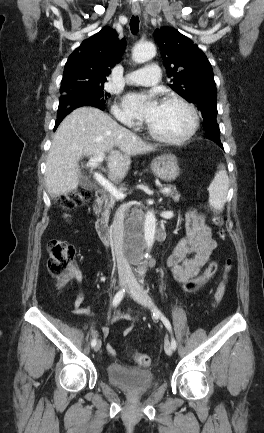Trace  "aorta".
Instances as JSON below:
<instances>
[{
    "label": "aorta",
    "instance_id": "1",
    "mask_svg": "<svg viewBox=\"0 0 264 433\" xmlns=\"http://www.w3.org/2000/svg\"><path fill=\"white\" fill-rule=\"evenodd\" d=\"M156 54V47L152 43H144L137 45L132 52V59L136 63H144ZM156 217L153 211H149L146 216L144 223L142 225V230L144 232V242L147 252L152 248L154 244L155 234H156ZM148 255V253L146 254ZM140 275L144 273V270L139 271Z\"/></svg>",
    "mask_w": 264,
    "mask_h": 433
}]
</instances>
